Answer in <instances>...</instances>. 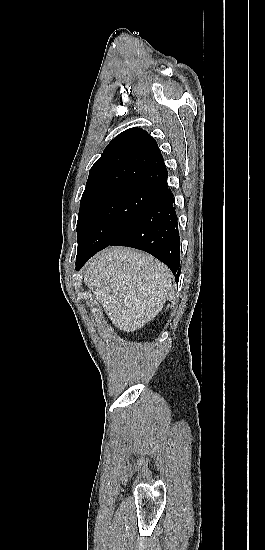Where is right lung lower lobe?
Returning a JSON list of instances; mask_svg holds the SVG:
<instances>
[{
  "label": "right lung lower lobe",
  "instance_id": "obj_1",
  "mask_svg": "<svg viewBox=\"0 0 265 550\" xmlns=\"http://www.w3.org/2000/svg\"><path fill=\"white\" fill-rule=\"evenodd\" d=\"M110 245L129 246L150 253L171 269L178 282L180 238L177 215L173 207V195L167 187V179L162 183L158 194L144 213ZM97 252L79 258L76 261V270H80Z\"/></svg>",
  "mask_w": 265,
  "mask_h": 550
}]
</instances>
